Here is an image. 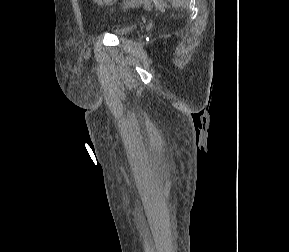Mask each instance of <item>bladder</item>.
Here are the masks:
<instances>
[{"mask_svg":"<svg viewBox=\"0 0 289 252\" xmlns=\"http://www.w3.org/2000/svg\"><path fill=\"white\" fill-rule=\"evenodd\" d=\"M132 30L131 27L129 26H123V27H118L113 29V33L118 35V36H122V35H127L128 33H130Z\"/></svg>","mask_w":289,"mask_h":252,"instance_id":"obj_1","label":"bladder"}]
</instances>
